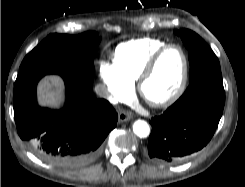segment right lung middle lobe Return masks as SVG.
Listing matches in <instances>:
<instances>
[{"label": "right lung middle lobe", "mask_w": 245, "mask_h": 187, "mask_svg": "<svg viewBox=\"0 0 245 187\" xmlns=\"http://www.w3.org/2000/svg\"><path fill=\"white\" fill-rule=\"evenodd\" d=\"M100 38L96 32L77 36L50 34L22 61L19 68L31 65H61L94 73L93 58Z\"/></svg>", "instance_id": "obj_1"}]
</instances>
